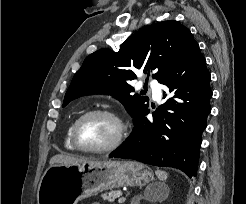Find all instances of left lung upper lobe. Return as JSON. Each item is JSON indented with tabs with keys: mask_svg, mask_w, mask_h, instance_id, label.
Instances as JSON below:
<instances>
[{
	"mask_svg": "<svg viewBox=\"0 0 246 204\" xmlns=\"http://www.w3.org/2000/svg\"><path fill=\"white\" fill-rule=\"evenodd\" d=\"M197 44L191 32L170 20L147 26L131 35L113 51L100 49L83 62L66 92L63 107L71 100L92 94L114 95L134 121L148 108V98L136 94L129 82L137 70L152 74L162 83Z\"/></svg>",
	"mask_w": 246,
	"mask_h": 204,
	"instance_id": "5c2ea615",
	"label": "left lung upper lobe"
}]
</instances>
